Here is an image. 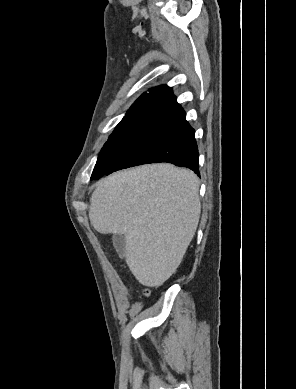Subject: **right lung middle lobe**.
<instances>
[{"label":"right lung middle lobe","instance_id":"1","mask_svg":"<svg viewBox=\"0 0 296 389\" xmlns=\"http://www.w3.org/2000/svg\"><path fill=\"white\" fill-rule=\"evenodd\" d=\"M179 122L158 116L122 120L103 146L93 172L141 165L151 148Z\"/></svg>","mask_w":296,"mask_h":389}]
</instances>
